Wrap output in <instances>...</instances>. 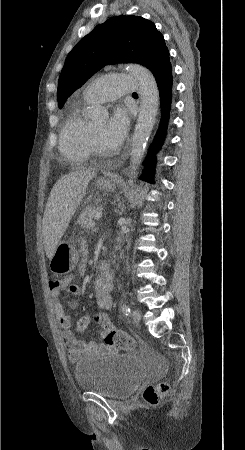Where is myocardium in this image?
I'll list each match as a JSON object with an SVG mask.
<instances>
[{"label":"myocardium","instance_id":"obj_1","mask_svg":"<svg viewBox=\"0 0 245 450\" xmlns=\"http://www.w3.org/2000/svg\"><path fill=\"white\" fill-rule=\"evenodd\" d=\"M88 136H89L91 150L96 155L108 156V155H112L114 153L113 151L107 150L104 147H102V145L98 142V140L94 134V131H93L92 123L90 124V126L88 128Z\"/></svg>","mask_w":245,"mask_h":450}]
</instances>
